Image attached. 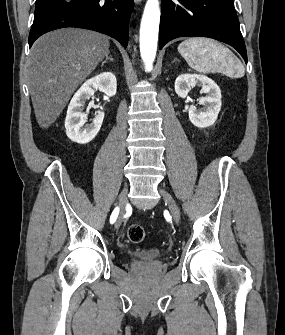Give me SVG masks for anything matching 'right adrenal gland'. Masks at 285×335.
Instances as JSON below:
<instances>
[{
  "label": "right adrenal gland",
  "mask_w": 285,
  "mask_h": 335,
  "mask_svg": "<svg viewBox=\"0 0 285 335\" xmlns=\"http://www.w3.org/2000/svg\"><path fill=\"white\" fill-rule=\"evenodd\" d=\"M108 60H110V62H114L113 58H110V56H106L104 62H102L101 66H104V64H106V62H108Z\"/></svg>",
  "instance_id": "2a0ac1e0"
}]
</instances>
